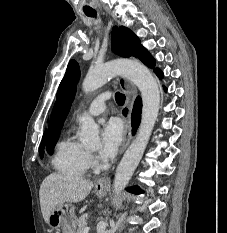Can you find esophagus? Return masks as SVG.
I'll use <instances>...</instances> for the list:
<instances>
[{"mask_svg":"<svg viewBox=\"0 0 227 233\" xmlns=\"http://www.w3.org/2000/svg\"><path fill=\"white\" fill-rule=\"evenodd\" d=\"M118 81L121 89L124 91L126 96L125 104L121 109V116L124 121V136L122 146L120 149V153L122 154L132 139L131 112L137 95V89L131 82H129L124 77H120ZM108 182V177H101L100 179H98L96 186L102 187L107 185Z\"/></svg>","mask_w":227,"mask_h":233,"instance_id":"esophagus-1","label":"esophagus"}]
</instances>
